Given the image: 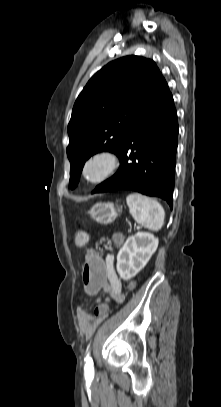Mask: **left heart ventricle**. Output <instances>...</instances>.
Masks as SVG:
<instances>
[{
	"label": "left heart ventricle",
	"instance_id": "b2bd125f",
	"mask_svg": "<svg viewBox=\"0 0 221 407\" xmlns=\"http://www.w3.org/2000/svg\"><path fill=\"white\" fill-rule=\"evenodd\" d=\"M105 169V163L103 161H96L89 165L87 168V176L89 178L99 177Z\"/></svg>",
	"mask_w": 221,
	"mask_h": 407
}]
</instances>
